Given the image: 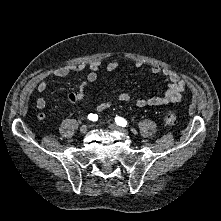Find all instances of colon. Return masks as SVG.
Instances as JSON below:
<instances>
[{
  "label": "colon",
  "mask_w": 221,
  "mask_h": 221,
  "mask_svg": "<svg viewBox=\"0 0 221 221\" xmlns=\"http://www.w3.org/2000/svg\"><path fill=\"white\" fill-rule=\"evenodd\" d=\"M81 96V92L79 90H76L75 93H74V99L77 100L79 99ZM177 122V117L175 115L174 112H167L164 116V123L167 125V126H173L175 125Z\"/></svg>",
  "instance_id": "obj_1"
}]
</instances>
